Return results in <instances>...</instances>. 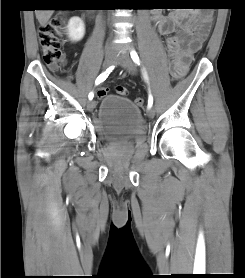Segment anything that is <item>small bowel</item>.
I'll list each match as a JSON object with an SVG mask.
<instances>
[{"label":"small bowel","mask_w":245,"mask_h":278,"mask_svg":"<svg viewBox=\"0 0 245 278\" xmlns=\"http://www.w3.org/2000/svg\"><path fill=\"white\" fill-rule=\"evenodd\" d=\"M209 15L193 10L188 14L173 12L167 17H155L156 30L164 37L171 65H174L181 74L186 72L190 61L201 49L209 34V31L204 29L205 19ZM107 94L99 97L103 98Z\"/></svg>","instance_id":"c3829d8e"}]
</instances>
